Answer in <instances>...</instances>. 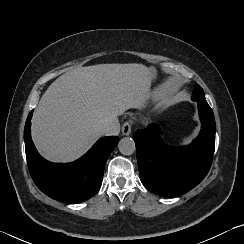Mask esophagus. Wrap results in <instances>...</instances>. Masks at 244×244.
Segmentation results:
<instances>
[{
  "instance_id": "obj_1",
  "label": "esophagus",
  "mask_w": 244,
  "mask_h": 244,
  "mask_svg": "<svg viewBox=\"0 0 244 244\" xmlns=\"http://www.w3.org/2000/svg\"><path fill=\"white\" fill-rule=\"evenodd\" d=\"M131 133V123L125 122L122 126V134L129 135Z\"/></svg>"
}]
</instances>
